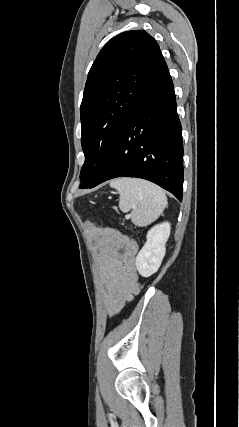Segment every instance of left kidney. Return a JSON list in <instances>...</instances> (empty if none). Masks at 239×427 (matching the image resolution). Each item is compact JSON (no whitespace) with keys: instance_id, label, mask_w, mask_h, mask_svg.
<instances>
[{"instance_id":"left-kidney-1","label":"left kidney","mask_w":239,"mask_h":427,"mask_svg":"<svg viewBox=\"0 0 239 427\" xmlns=\"http://www.w3.org/2000/svg\"><path fill=\"white\" fill-rule=\"evenodd\" d=\"M171 226L163 222L153 226L147 233V241L138 253L135 264L139 274L149 277L159 269L166 252V242Z\"/></svg>"}]
</instances>
